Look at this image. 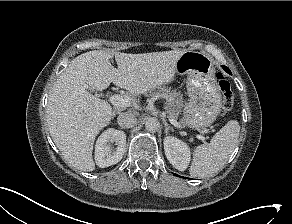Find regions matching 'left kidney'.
Returning a JSON list of instances; mask_svg holds the SVG:
<instances>
[{
    "label": "left kidney",
    "mask_w": 292,
    "mask_h": 224,
    "mask_svg": "<svg viewBox=\"0 0 292 224\" xmlns=\"http://www.w3.org/2000/svg\"><path fill=\"white\" fill-rule=\"evenodd\" d=\"M164 150L168 161L179 171H185L190 163L188 145L178 138L168 136L164 139Z\"/></svg>",
    "instance_id": "left-kidney-1"
}]
</instances>
